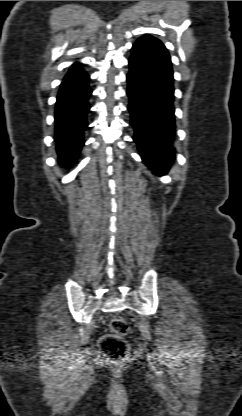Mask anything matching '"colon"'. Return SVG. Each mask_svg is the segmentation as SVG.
Masks as SVG:
<instances>
[{
  "instance_id": "1",
  "label": "colon",
  "mask_w": 242,
  "mask_h": 416,
  "mask_svg": "<svg viewBox=\"0 0 242 416\" xmlns=\"http://www.w3.org/2000/svg\"><path fill=\"white\" fill-rule=\"evenodd\" d=\"M110 328L111 332L101 337L99 347L109 358L118 361L125 358L129 350L124 338L129 326L123 318L117 317L111 321Z\"/></svg>"
}]
</instances>
